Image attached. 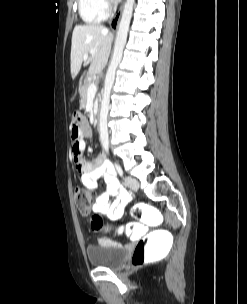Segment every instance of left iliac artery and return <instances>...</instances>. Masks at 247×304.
Returning a JSON list of instances; mask_svg holds the SVG:
<instances>
[{
    "label": "left iliac artery",
    "instance_id": "1",
    "mask_svg": "<svg viewBox=\"0 0 247 304\" xmlns=\"http://www.w3.org/2000/svg\"><path fill=\"white\" fill-rule=\"evenodd\" d=\"M115 167H116V170H117L118 174L122 177L123 176V170H122V168L119 165H117V164H115Z\"/></svg>",
    "mask_w": 247,
    "mask_h": 304
}]
</instances>
